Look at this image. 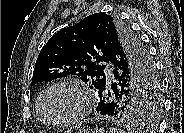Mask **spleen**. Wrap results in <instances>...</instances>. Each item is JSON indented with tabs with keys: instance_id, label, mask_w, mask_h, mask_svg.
<instances>
[{
	"instance_id": "obj_1",
	"label": "spleen",
	"mask_w": 184,
	"mask_h": 133,
	"mask_svg": "<svg viewBox=\"0 0 184 133\" xmlns=\"http://www.w3.org/2000/svg\"><path fill=\"white\" fill-rule=\"evenodd\" d=\"M111 133H124V131L113 129L111 130Z\"/></svg>"
}]
</instances>
